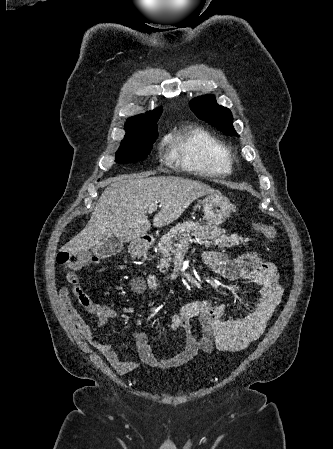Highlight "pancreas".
Wrapping results in <instances>:
<instances>
[{
    "label": "pancreas",
    "mask_w": 333,
    "mask_h": 449,
    "mask_svg": "<svg viewBox=\"0 0 333 449\" xmlns=\"http://www.w3.org/2000/svg\"><path fill=\"white\" fill-rule=\"evenodd\" d=\"M225 233V230L201 226L198 222L190 220L176 225L159 240L158 248L163 257L158 265L160 271L165 273V269L169 268V262L172 260L171 255L176 251L175 248L179 244L191 241L190 234L195 237L198 244L206 247L217 245L221 248H230L245 242L244 238L237 234L228 236Z\"/></svg>",
    "instance_id": "cf45deb5"
}]
</instances>
